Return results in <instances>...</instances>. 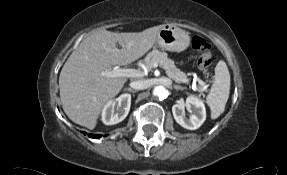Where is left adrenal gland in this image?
<instances>
[{
    "mask_svg": "<svg viewBox=\"0 0 287 175\" xmlns=\"http://www.w3.org/2000/svg\"><path fill=\"white\" fill-rule=\"evenodd\" d=\"M174 88H175L176 90L183 89V87H181V86H174Z\"/></svg>",
    "mask_w": 287,
    "mask_h": 175,
    "instance_id": "left-adrenal-gland-1",
    "label": "left adrenal gland"
}]
</instances>
